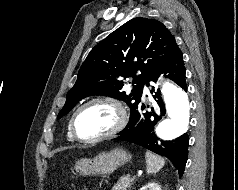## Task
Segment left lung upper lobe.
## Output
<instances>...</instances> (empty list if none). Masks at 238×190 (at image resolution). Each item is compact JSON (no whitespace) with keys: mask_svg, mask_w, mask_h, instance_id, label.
Listing matches in <instances>:
<instances>
[{"mask_svg":"<svg viewBox=\"0 0 238 190\" xmlns=\"http://www.w3.org/2000/svg\"><path fill=\"white\" fill-rule=\"evenodd\" d=\"M179 50L163 23L145 17L131 19L91 50L57 119L91 95L122 100L132 112L141 101L143 85ZM127 77H133L130 94L122 91Z\"/></svg>","mask_w":238,"mask_h":190,"instance_id":"obj_1","label":"left lung upper lobe"}]
</instances>
